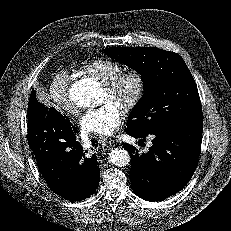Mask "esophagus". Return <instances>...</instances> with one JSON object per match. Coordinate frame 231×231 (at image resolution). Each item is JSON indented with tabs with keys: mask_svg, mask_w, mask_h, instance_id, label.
Here are the masks:
<instances>
[{
	"mask_svg": "<svg viewBox=\"0 0 231 231\" xmlns=\"http://www.w3.org/2000/svg\"><path fill=\"white\" fill-rule=\"evenodd\" d=\"M113 142L114 141L111 138H108V137L101 139V143L104 146L111 145V144H113Z\"/></svg>",
	"mask_w": 231,
	"mask_h": 231,
	"instance_id": "obj_1",
	"label": "esophagus"
}]
</instances>
